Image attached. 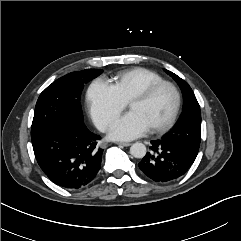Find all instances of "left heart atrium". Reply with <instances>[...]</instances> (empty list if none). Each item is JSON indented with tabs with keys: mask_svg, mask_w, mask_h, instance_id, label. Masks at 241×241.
Instances as JSON below:
<instances>
[{
	"mask_svg": "<svg viewBox=\"0 0 241 241\" xmlns=\"http://www.w3.org/2000/svg\"><path fill=\"white\" fill-rule=\"evenodd\" d=\"M150 129L148 122L139 113L130 111L113 123L109 136L115 140H131L146 134Z\"/></svg>",
	"mask_w": 241,
	"mask_h": 241,
	"instance_id": "obj_1",
	"label": "left heart atrium"
}]
</instances>
